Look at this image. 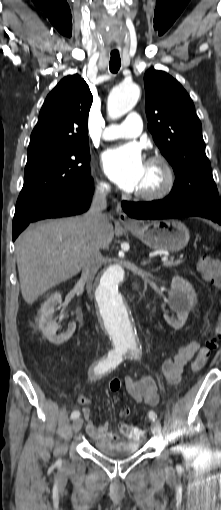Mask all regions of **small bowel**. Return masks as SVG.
Instances as JSON below:
<instances>
[{
	"mask_svg": "<svg viewBox=\"0 0 221 510\" xmlns=\"http://www.w3.org/2000/svg\"><path fill=\"white\" fill-rule=\"evenodd\" d=\"M200 347L201 341H192L182 346L173 357L164 360L162 371L169 384L177 385L180 382L184 367L192 360ZM125 389L138 402H143L149 406H155L158 403V387L155 380L150 376H141L137 379L128 376L125 379ZM78 402L84 406L83 416L86 420V430L94 441L112 442L122 438L134 439L128 431L132 427L126 423L120 424L119 433L110 432L109 421L96 426L93 420V411L90 407V399L86 396H79Z\"/></svg>",
	"mask_w": 221,
	"mask_h": 510,
	"instance_id": "obj_1",
	"label": "small bowel"
}]
</instances>
